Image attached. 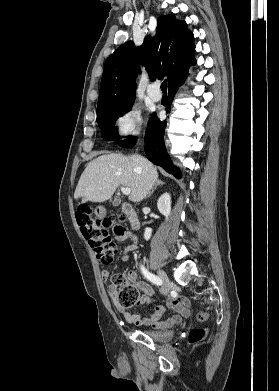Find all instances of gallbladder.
Wrapping results in <instances>:
<instances>
[{"mask_svg": "<svg viewBox=\"0 0 279 391\" xmlns=\"http://www.w3.org/2000/svg\"><path fill=\"white\" fill-rule=\"evenodd\" d=\"M112 204H113L114 206H118V205H120V200H119V199H114V200L112 201Z\"/></svg>", "mask_w": 279, "mask_h": 391, "instance_id": "bac80fb5", "label": "gallbladder"}]
</instances>
